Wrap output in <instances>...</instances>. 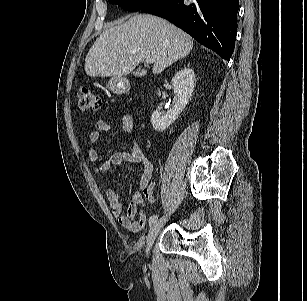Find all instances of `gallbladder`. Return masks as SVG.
<instances>
[{"instance_id": "gallbladder-1", "label": "gallbladder", "mask_w": 307, "mask_h": 301, "mask_svg": "<svg viewBox=\"0 0 307 301\" xmlns=\"http://www.w3.org/2000/svg\"><path fill=\"white\" fill-rule=\"evenodd\" d=\"M134 75H135V76H142L143 73H142L141 71H137V72L134 73Z\"/></svg>"}]
</instances>
